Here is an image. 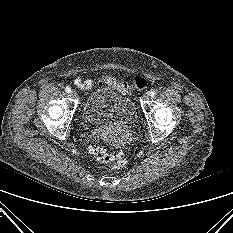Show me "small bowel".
Segmentation results:
<instances>
[{"mask_svg": "<svg viewBox=\"0 0 233 233\" xmlns=\"http://www.w3.org/2000/svg\"><path fill=\"white\" fill-rule=\"evenodd\" d=\"M74 83L82 90H89L92 86V81L90 79H83L81 77L76 78Z\"/></svg>", "mask_w": 233, "mask_h": 233, "instance_id": "obj_1", "label": "small bowel"}]
</instances>
